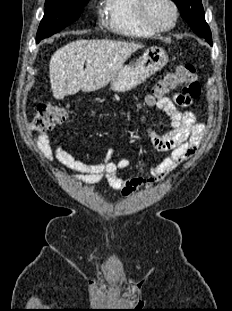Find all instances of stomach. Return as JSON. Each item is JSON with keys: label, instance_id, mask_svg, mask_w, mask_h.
<instances>
[{"label": "stomach", "instance_id": "obj_1", "mask_svg": "<svg viewBox=\"0 0 232 311\" xmlns=\"http://www.w3.org/2000/svg\"><path fill=\"white\" fill-rule=\"evenodd\" d=\"M169 61L168 55L161 47H150L138 61L122 66L110 81V88L116 92L129 91L148 77L160 71Z\"/></svg>", "mask_w": 232, "mask_h": 311}]
</instances>
